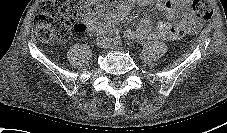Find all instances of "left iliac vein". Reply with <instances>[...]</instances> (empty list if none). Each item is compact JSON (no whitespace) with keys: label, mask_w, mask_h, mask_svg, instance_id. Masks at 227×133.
<instances>
[{"label":"left iliac vein","mask_w":227,"mask_h":133,"mask_svg":"<svg viewBox=\"0 0 227 133\" xmlns=\"http://www.w3.org/2000/svg\"><path fill=\"white\" fill-rule=\"evenodd\" d=\"M108 47L111 48V49H117V48H118L117 45H115V44H110V43H109Z\"/></svg>","instance_id":"obj_1"}]
</instances>
